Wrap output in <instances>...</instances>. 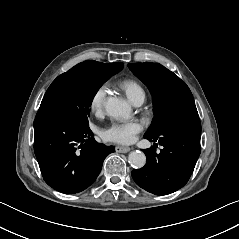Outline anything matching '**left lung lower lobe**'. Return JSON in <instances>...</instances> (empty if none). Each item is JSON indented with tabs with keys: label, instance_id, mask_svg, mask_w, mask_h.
<instances>
[{
	"label": "left lung lower lobe",
	"instance_id": "0a47b994",
	"mask_svg": "<svg viewBox=\"0 0 239 239\" xmlns=\"http://www.w3.org/2000/svg\"><path fill=\"white\" fill-rule=\"evenodd\" d=\"M162 145L145 149L147 163L132 171L136 184L156 195H166L182 188L189 180L200 155L201 122L184 118L166 126L158 137H146ZM154 147L157 144L154 143Z\"/></svg>",
	"mask_w": 239,
	"mask_h": 239
}]
</instances>
